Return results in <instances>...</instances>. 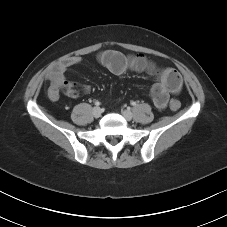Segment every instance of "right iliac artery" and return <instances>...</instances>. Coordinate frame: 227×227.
Returning <instances> with one entry per match:
<instances>
[{"label": "right iliac artery", "mask_w": 227, "mask_h": 227, "mask_svg": "<svg viewBox=\"0 0 227 227\" xmlns=\"http://www.w3.org/2000/svg\"><path fill=\"white\" fill-rule=\"evenodd\" d=\"M100 104H101V103H100L99 101H96V102H95V105H96V106H99Z\"/></svg>", "instance_id": "82829eb1"}]
</instances>
